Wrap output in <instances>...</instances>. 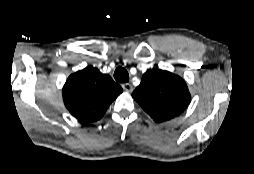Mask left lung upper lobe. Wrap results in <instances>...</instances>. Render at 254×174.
<instances>
[{
    "mask_svg": "<svg viewBox=\"0 0 254 174\" xmlns=\"http://www.w3.org/2000/svg\"><path fill=\"white\" fill-rule=\"evenodd\" d=\"M132 97L158 123L180 115L191 98L181 77L160 69L146 71Z\"/></svg>",
    "mask_w": 254,
    "mask_h": 174,
    "instance_id": "1",
    "label": "left lung upper lobe"
}]
</instances>
